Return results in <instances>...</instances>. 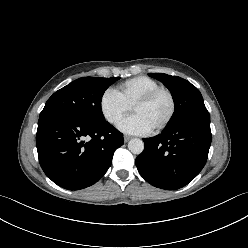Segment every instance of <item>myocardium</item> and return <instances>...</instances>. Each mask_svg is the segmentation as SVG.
<instances>
[{
    "mask_svg": "<svg viewBox=\"0 0 248 248\" xmlns=\"http://www.w3.org/2000/svg\"><path fill=\"white\" fill-rule=\"evenodd\" d=\"M160 94H165L169 98L170 110H169V113H168L167 117L165 118V120L161 124H159L156 128H154L152 130L153 133H158V132L162 131L172 121V119L175 115V111H176V101H175V97H174L173 93L167 88L159 87L157 89L150 91L149 93L145 94L144 96L140 97L132 106V109H134L137 106L148 104L151 101H153Z\"/></svg>",
    "mask_w": 248,
    "mask_h": 248,
    "instance_id": "obj_1",
    "label": "myocardium"
}]
</instances>
